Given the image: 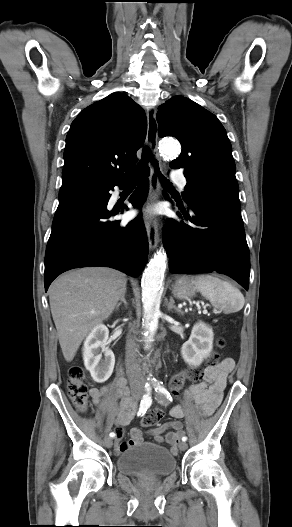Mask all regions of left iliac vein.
Returning a JSON list of instances; mask_svg holds the SVG:
<instances>
[{
  "mask_svg": "<svg viewBox=\"0 0 292 527\" xmlns=\"http://www.w3.org/2000/svg\"><path fill=\"white\" fill-rule=\"evenodd\" d=\"M179 449L182 450V451L186 450V449H187V443L184 442V441L181 442V443L179 444Z\"/></svg>",
  "mask_w": 292,
  "mask_h": 527,
  "instance_id": "obj_1",
  "label": "left iliac vein"
}]
</instances>
